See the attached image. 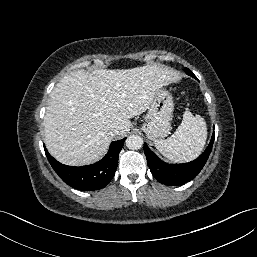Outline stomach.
Masks as SVG:
<instances>
[{
	"instance_id": "0dacf381",
	"label": "stomach",
	"mask_w": 257,
	"mask_h": 257,
	"mask_svg": "<svg viewBox=\"0 0 257 257\" xmlns=\"http://www.w3.org/2000/svg\"><path fill=\"white\" fill-rule=\"evenodd\" d=\"M173 110L174 104L171 94L165 89H159L148 108L146 123L142 126L150 140H161L169 134Z\"/></svg>"
}]
</instances>
